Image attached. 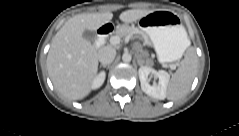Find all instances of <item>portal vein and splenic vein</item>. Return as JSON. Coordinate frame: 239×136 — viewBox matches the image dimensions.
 Instances as JSON below:
<instances>
[{
	"instance_id": "portal-vein-and-splenic-vein-1",
	"label": "portal vein and splenic vein",
	"mask_w": 239,
	"mask_h": 136,
	"mask_svg": "<svg viewBox=\"0 0 239 136\" xmlns=\"http://www.w3.org/2000/svg\"><path fill=\"white\" fill-rule=\"evenodd\" d=\"M110 44L112 45H117L120 43L121 39L119 36L115 35L110 38ZM171 69H174V66H170Z\"/></svg>"
}]
</instances>
